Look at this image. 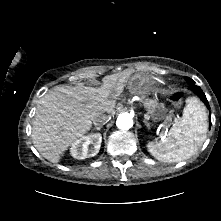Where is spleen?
<instances>
[{
	"mask_svg": "<svg viewBox=\"0 0 221 221\" xmlns=\"http://www.w3.org/2000/svg\"><path fill=\"white\" fill-rule=\"evenodd\" d=\"M183 115L158 142H149L148 151L162 162H180L196 153L208 130L205 107L196 98L186 100Z\"/></svg>",
	"mask_w": 221,
	"mask_h": 221,
	"instance_id": "spleen-1",
	"label": "spleen"
}]
</instances>
